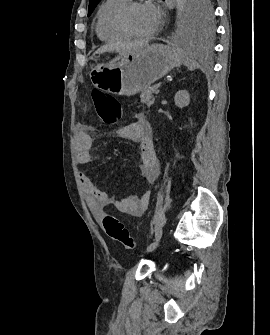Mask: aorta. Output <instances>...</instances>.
<instances>
[{
	"mask_svg": "<svg viewBox=\"0 0 270 335\" xmlns=\"http://www.w3.org/2000/svg\"><path fill=\"white\" fill-rule=\"evenodd\" d=\"M177 2V14L180 16L181 12L184 10L186 0H176Z\"/></svg>",
	"mask_w": 270,
	"mask_h": 335,
	"instance_id": "762f6f07",
	"label": "aorta"
}]
</instances>
